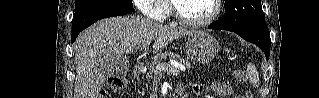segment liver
<instances>
[{"mask_svg":"<svg viewBox=\"0 0 319 98\" xmlns=\"http://www.w3.org/2000/svg\"><path fill=\"white\" fill-rule=\"evenodd\" d=\"M197 31L169 27L141 16L105 18L79 35L75 44L76 79L74 98H95L107 77L100 68V59L133 53L141 43L154 40L158 52L173 40Z\"/></svg>","mask_w":319,"mask_h":98,"instance_id":"6515ba94","label":"liver"}]
</instances>
